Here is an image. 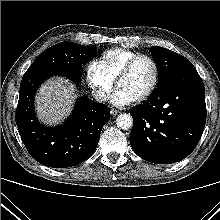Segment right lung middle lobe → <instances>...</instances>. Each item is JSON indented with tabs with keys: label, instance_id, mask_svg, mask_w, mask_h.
Here are the masks:
<instances>
[{
	"label": "right lung middle lobe",
	"instance_id": "dd1d6c3e",
	"mask_svg": "<svg viewBox=\"0 0 220 220\" xmlns=\"http://www.w3.org/2000/svg\"><path fill=\"white\" fill-rule=\"evenodd\" d=\"M96 46H84L73 42H61L43 51L27 71L39 69H81L96 55Z\"/></svg>",
	"mask_w": 220,
	"mask_h": 220
}]
</instances>
